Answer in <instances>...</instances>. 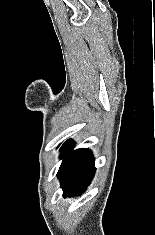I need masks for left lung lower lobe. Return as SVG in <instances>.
<instances>
[{
  "instance_id": "left-lung-lower-lobe-1",
  "label": "left lung lower lobe",
  "mask_w": 155,
  "mask_h": 235,
  "mask_svg": "<svg viewBox=\"0 0 155 235\" xmlns=\"http://www.w3.org/2000/svg\"><path fill=\"white\" fill-rule=\"evenodd\" d=\"M71 146L70 140L62 145L61 158H63V162L57 173L64 197L83 193L95 174L92 152L86 148L73 151Z\"/></svg>"
}]
</instances>
